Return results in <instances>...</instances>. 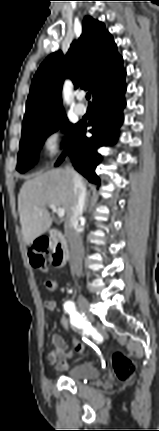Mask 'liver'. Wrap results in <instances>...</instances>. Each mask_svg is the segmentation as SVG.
<instances>
[{"instance_id":"obj_1","label":"liver","mask_w":159,"mask_h":431,"mask_svg":"<svg viewBox=\"0 0 159 431\" xmlns=\"http://www.w3.org/2000/svg\"><path fill=\"white\" fill-rule=\"evenodd\" d=\"M74 203L72 174L66 169H54L26 181L18 195V212L23 238L30 245L45 233L52 224L47 206L54 204L66 213V221L72 214Z\"/></svg>"}]
</instances>
